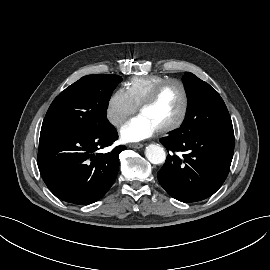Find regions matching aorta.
I'll return each instance as SVG.
<instances>
[{"label": "aorta", "instance_id": "aorta-1", "mask_svg": "<svg viewBox=\"0 0 270 270\" xmlns=\"http://www.w3.org/2000/svg\"><path fill=\"white\" fill-rule=\"evenodd\" d=\"M145 156L152 164H162L165 162L166 153L158 144H150L145 149Z\"/></svg>", "mask_w": 270, "mask_h": 270}]
</instances>
